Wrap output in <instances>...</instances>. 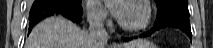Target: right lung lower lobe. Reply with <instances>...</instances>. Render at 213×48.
<instances>
[{
	"mask_svg": "<svg viewBox=\"0 0 213 48\" xmlns=\"http://www.w3.org/2000/svg\"><path fill=\"white\" fill-rule=\"evenodd\" d=\"M81 3L74 0H35L29 13L30 27L52 15H63L73 22H80L82 17Z\"/></svg>",
	"mask_w": 213,
	"mask_h": 48,
	"instance_id": "obj_1",
	"label": "right lung lower lobe"
}]
</instances>
